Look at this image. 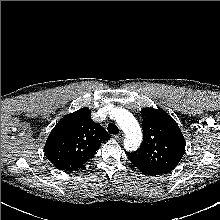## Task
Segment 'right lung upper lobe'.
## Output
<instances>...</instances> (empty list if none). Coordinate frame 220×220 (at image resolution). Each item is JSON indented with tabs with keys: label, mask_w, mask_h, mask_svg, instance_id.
<instances>
[{
	"label": "right lung upper lobe",
	"mask_w": 220,
	"mask_h": 220,
	"mask_svg": "<svg viewBox=\"0 0 220 220\" xmlns=\"http://www.w3.org/2000/svg\"><path fill=\"white\" fill-rule=\"evenodd\" d=\"M107 131L91 119V111L82 108L64 116L51 131L44 152L57 168L73 171L92 158L107 141Z\"/></svg>",
	"instance_id": "right-lung-upper-lobe-1"
}]
</instances>
